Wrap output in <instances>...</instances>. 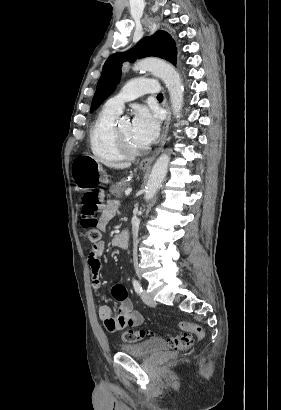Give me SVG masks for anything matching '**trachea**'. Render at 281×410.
Listing matches in <instances>:
<instances>
[{"mask_svg": "<svg viewBox=\"0 0 281 410\" xmlns=\"http://www.w3.org/2000/svg\"><path fill=\"white\" fill-rule=\"evenodd\" d=\"M157 98H163V94L162 93L158 94Z\"/></svg>", "mask_w": 281, "mask_h": 410, "instance_id": "3493384b", "label": "trachea"}]
</instances>
